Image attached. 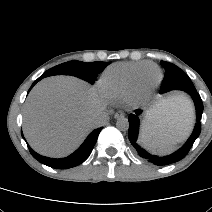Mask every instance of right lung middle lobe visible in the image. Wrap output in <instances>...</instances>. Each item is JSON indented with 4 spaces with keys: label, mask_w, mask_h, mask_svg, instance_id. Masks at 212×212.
<instances>
[{
    "label": "right lung middle lobe",
    "mask_w": 212,
    "mask_h": 212,
    "mask_svg": "<svg viewBox=\"0 0 212 212\" xmlns=\"http://www.w3.org/2000/svg\"><path fill=\"white\" fill-rule=\"evenodd\" d=\"M107 65V62L85 63L81 61H69L49 69L44 74L47 77L52 75H72L93 84L96 75Z\"/></svg>",
    "instance_id": "1"
}]
</instances>
